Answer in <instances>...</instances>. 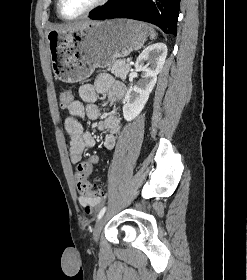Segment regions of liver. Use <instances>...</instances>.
Listing matches in <instances>:
<instances>
[{
	"instance_id": "liver-1",
	"label": "liver",
	"mask_w": 247,
	"mask_h": 280,
	"mask_svg": "<svg viewBox=\"0 0 247 280\" xmlns=\"http://www.w3.org/2000/svg\"><path fill=\"white\" fill-rule=\"evenodd\" d=\"M91 23H93V21H84V22L69 23L66 25H57L54 27V30L59 32L75 31L84 28Z\"/></svg>"
}]
</instances>
